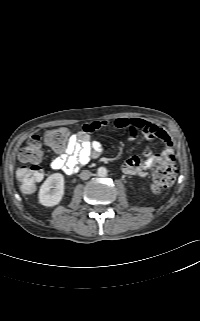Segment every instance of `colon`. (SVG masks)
I'll return each instance as SVG.
<instances>
[{
	"instance_id": "colon-1",
	"label": "colon",
	"mask_w": 200,
	"mask_h": 321,
	"mask_svg": "<svg viewBox=\"0 0 200 321\" xmlns=\"http://www.w3.org/2000/svg\"><path fill=\"white\" fill-rule=\"evenodd\" d=\"M70 132L65 127L53 128L45 132L44 142L55 150L65 147ZM41 140L37 135L30 136L20 150L19 157L23 162L30 163L29 166L20 167L17 170V179L21 189L25 193H32L43 177L39 166L41 159ZM177 169L173 153L162 156L152 176V189L155 192L170 187L176 179Z\"/></svg>"
}]
</instances>
